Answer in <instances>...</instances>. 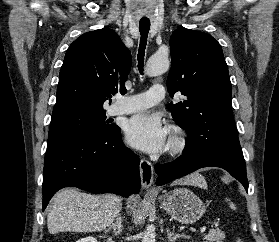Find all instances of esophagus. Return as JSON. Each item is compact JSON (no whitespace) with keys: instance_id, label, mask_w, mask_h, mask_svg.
I'll return each instance as SVG.
<instances>
[{"instance_id":"esophagus-1","label":"esophagus","mask_w":279,"mask_h":242,"mask_svg":"<svg viewBox=\"0 0 279 242\" xmlns=\"http://www.w3.org/2000/svg\"><path fill=\"white\" fill-rule=\"evenodd\" d=\"M141 186L147 191H152L154 169L151 162L145 159L140 161Z\"/></svg>"}]
</instances>
